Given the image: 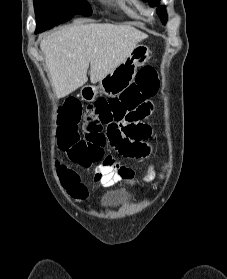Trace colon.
<instances>
[{"instance_id": "obj_1", "label": "colon", "mask_w": 227, "mask_h": 279, "mask_svg": "<svg viewBox=\"0 0 227 279\" xmlns=\"http://www.w3.org/2000/svg\"><path fill=\"white\" fill-rule=\"evenodd\" d=\"M158 86L156 71L143 68L137 72L134 85L119 96L99 98L94 104L88 105L85 112L78 100L67 102L59 112L57 127L62 151L71 162L89 167L102 158L107 141L115 139L121 131L132 140L128 147V157H146L150 152L146 141L151 135V127L141 121L153 111V104L149 100L157 96ZM81 121L84 122L83 137L78 131ZM59 167L61 170L65 168ZM63 175L69 192L77 193L82 189L74 171L65 170Z\"/></svg>"}]
</instances>
